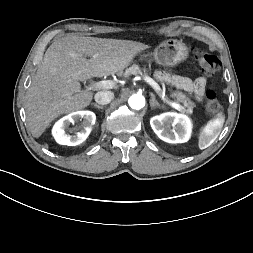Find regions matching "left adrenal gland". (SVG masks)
<instances>
[{
    "mask_svg": "<svg viewBox=\"0 0 253 253\" xmlns=\"http://www.w3.org/2000/svg\"><path fill=\"white\" fill-rule=\"evenodd\" d=\"M150 95H151V99H150V107H151V109H153L155 107H160L161 105L155 99V95L153 93H150Z\"/></svg>",
    "mask_w": 253,
    "mask_h": 253,
    "instance_id": "a2214340",
    "label": "left adrenal gland"
}]
</instances>
